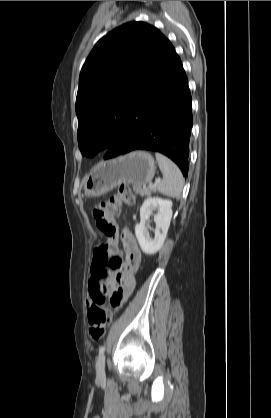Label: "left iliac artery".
Masks as SVG:
<instances>
[{
    "instance_id": "left-iliac-artery-1",
    "label": "left iliac artery",
    "mask_w": 271,
    "mask_h": 418,
    "mask_svg": "<svg viewBox=\"0 0 271 418\" xmlns=\"http://www.w3.org/2000/svg\"><path fill=\"white\" fill-rule=\"evenodd\" d=\"M104 351H105V346H101L99 348V355H102L104 353Z\"/></svg>"
}]
</instances>
